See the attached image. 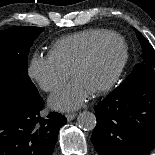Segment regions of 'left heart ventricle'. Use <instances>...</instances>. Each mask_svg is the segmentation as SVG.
Wrapping results in <instances>:
<instances>
[{"label":"left heart ventricle","instance_id":"1","mask_svg":"<svg viewBox=\"0 0 155 155\" xmlns=\"http://www.w3.org/2000/svg\"><path fill=\"white\" fill-rule=\"evenodd\" d=\"M123 56L122 42L111 40L99 50L93 61L81 70L75 79L94 93L112 79Z\"/></svg>","mask_w":155,"mask_h":155}]
</instances>
